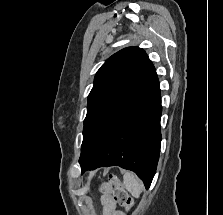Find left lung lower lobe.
<instances>
[{
  "mask_svg": "<svg viewBox=\"0 0 223 215\" xmlns=\"http://www.w3.org/2000/svg\"><path fill=\"white\" fill-rule=\"evenodd\" d=\"M161 93L158 78L145 94L111 129L103 143L84 166L86 170L120 166L135 172L149 188L160 154Z\"/></svg>",
  "mask_w": 223,
  "mask_h": 215,
  "instance_id": "0a47b994",
  "label": "left lung lower lobe"
}]
</instances>
